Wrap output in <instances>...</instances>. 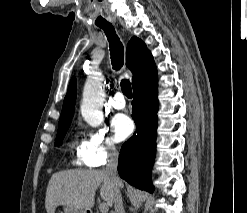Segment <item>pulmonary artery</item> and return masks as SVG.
<instances>
[{
    "label": "pulmonary artery",
    "instance_id": "obj_1",
    "mask_svg": "<svg viewBox=\"0 0 247 213\" xmlns=\"http://www.w3.org/2000/svg\"><path fill=\"white\" fill-rule=\"evenodd\" d=\"M126 106V101L122 93L118 92L114 95L111 101V107L117 110L124 109Z\"/></svg>",
    "mask_w": 247,
    "mask_h": 213
}]
</instances>
